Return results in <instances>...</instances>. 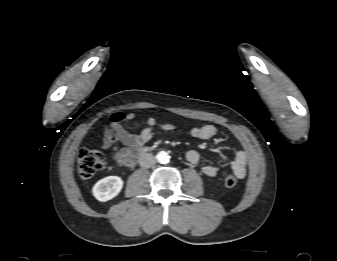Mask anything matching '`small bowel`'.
Wrapping results in <instances>:
<instances>
[{"label": "small bowel", "mask_w": 337, "mask_h": 261, "mask_svg": "<svg viewBox=\"0 0 337 261\" xmlns=\"http://www.w3.org/2000/svg\"><path fill=\"white\" fill-rule=\"evenodd\" d=\"M135 113H114L110 117V124L105 129L103 147L111 150V154L116 163L124 167H132L136 162V156L142 147L149 142L157 131H172L175 126L170 123L158 124L156 119L149 117L146 120V127L138 134L128 132L123 128L121 122H129L134 120ZM113 133L116 138L122 143V147L113 146L109 140L110 134ZM217 129L213 125H204L194 127L189 131V135L196 139L206 140L215 136ZM200 154L195 150L186 152L187 161L196 165L200 161ZM233 174L242 179L246 175L247 156L242 150L235 153L234 158L229 163ZM202 172L208 177H214L219 173V168L213 164H207L202 167ZM224 174V172H221Z\"/></svg>", "instance_id": "small-bowel-1"}]
</instances>
